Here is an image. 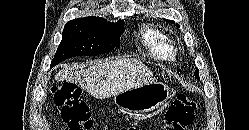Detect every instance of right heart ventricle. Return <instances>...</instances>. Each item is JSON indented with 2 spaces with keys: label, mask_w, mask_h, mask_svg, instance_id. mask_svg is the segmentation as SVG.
<instances>
[{
  "label": "right heart ventricle",
  "mask_w": 249,
  "mask_h": 130,
  "mask_svg": "<svg viewBox=\"0 0 249 130\" xmlns=\"http://www.w3.org/2000/svg\"><path fill=\"white\" fill-rule=\"evenodd\" d=\"M143 45L156 59L171 61L174 60L177 48L174 39L165 31L156 26H146L140 35Z\"/></svg>",
  "instance_id": "1"
}]
</instances>
